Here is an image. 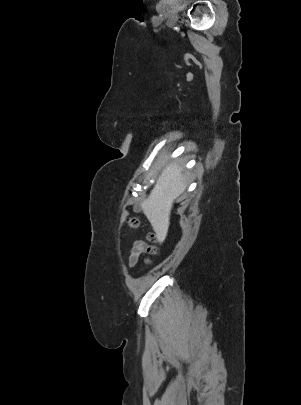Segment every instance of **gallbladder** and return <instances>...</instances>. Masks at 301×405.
Wrapping results in <instances>:
<instances>
[{
  "label": "gallbladder",
  "instance_id": "bac80fb5",
  "mask_svg": "<svg viewBox=\"0 0 301 405\" xmlns=\"http://www.w3.org/2000/svg\"><path fill=\"white\" fill-rule=\"evenodd\" d=\"M142 210V207L139 203H136L133 207V211L139 213Z\"/></svg>",
  "mask_w": 301,
  "mask_h": 405
}]
</instances>
